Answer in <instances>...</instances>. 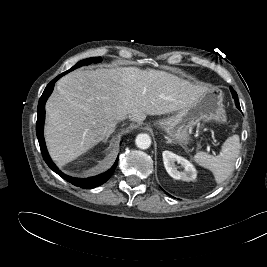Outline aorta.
Masks as SVG:
<instances>
[{"label": "aorta", "mask_w": 267, "mask_h": 267, "mask_svg": "<svg viewBox=\"0 0 267 267\" xmlns=\"http://www.w3.org/2000/svg\"><path fill=\"white\" fill-rule=\"evenodd\" d=\"M136 146L140 149H148L151 146V138L148 134H138L135 139Z\"/></svg>", "instance_id": "1"}]
</instances>
